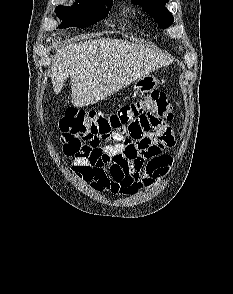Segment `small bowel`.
<instances>
[{
  "mask_svg": "<svg viewBox=\"0 0 233 294\" xmlns=\"http://www.w3.org/2000/svg\"><path fill=\"white\" fill-rule=\"evenodd\" d=\"M135 120H124L125 137L117 135L118 144L103 149L102 156L74 158L71 171L95 191L128 195L152 186L164 176L173 160L164 149L173 148L175 139L167 117L159 110H135ZM119 155V156H118Z\"/></svg>",
  "mask_w": 233,
  "mask_h": 294,
  "instance_id": "c3829d8e",
  "label": "small bowel"
}]
</instances>
